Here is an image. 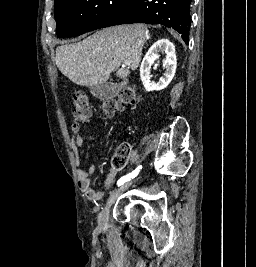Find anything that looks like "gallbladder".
<instances>
[{
    "mask_svg": "<svg viewBox=\"0 0 256 267\" xmlns=\"http://www.w3.org/2000/svg\"><path fill=\"white\" fill-rule=\"evenodd\" d=\"M90 94H93L95 98L99 100H113L120 92V86L118 84H109V82H103V84H97V86H89Z\"/></svg>",
    "mask_w": 256,
    "mask_h": 267,
    "instance_id": "bac80fb5",
    "label": "gallbladder"
}]
</instances>
